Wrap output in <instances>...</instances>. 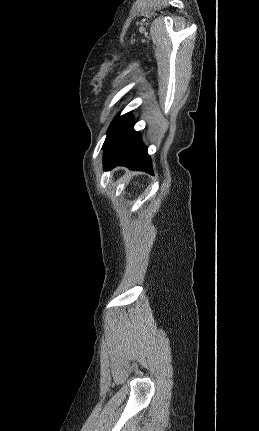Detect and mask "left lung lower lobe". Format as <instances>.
I'll return each mask as SVG.
<instances>
[{
	"label": "left lung lower lobe",
	"mask_w": 259,
	"mask_h": 431,
	"mask_svg": "<svg viewBox=\"0 0 259 431\" xmlns=\"http://www.w3.org/2000/svg\"><path fill=\"white\" fill-rule=\"evenodd\" d=\"M131 113L115 128L104 142V169L126 166L130 170L153 174L150 156L141 141L140 133L134 130Z\"/></svg>",
	"instance_id": "0a47b994"
}]
</instances>
